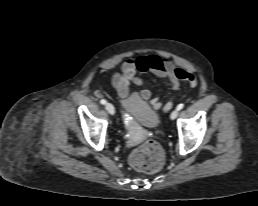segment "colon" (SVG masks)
Instances as JSON below:
<instances>
[{
    "instance_id": "colon-1",
    "label": "colon",
    "mask_w": 258,
    "mask_h": 206,
    "mask_svg": "<svg viewBox=\"0 0 258 206\" xmlns=\"http://www.w3.org/2000/svg\"><path fill=\"white\" fill-rule=\"evenodd\" d=\"M195 86L194 81L190 82ZM164 163V152L162 147L153 139H148L138 146L130 155V164L137 170L143 172H157Z\"/></svg>"
}]
</instances>
